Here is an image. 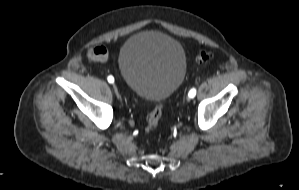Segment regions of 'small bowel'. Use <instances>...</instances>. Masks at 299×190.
I'll use <instances>...</instances> for the list:
<instances>
[{"mask_svg":"<svg viewBox=\"0 0 299 190\" xmlns=\"http://www.w3.org/2000/svg\"><path fill=\"white\" fill-rule=\"evenodd\" d=\"M108 56V50L104 46L95 47L88 51V57L91 60L104 62L108 60Z\"/></svg>","mask_w":299,"mask_h":190,"instance_id":"1","label":"small bowel"}]
</instances>
